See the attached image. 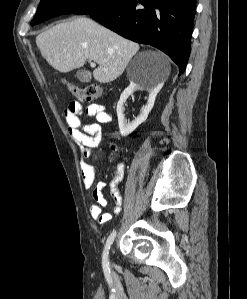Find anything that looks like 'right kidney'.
<instances>
[{
    "mask_svg": "<svg viewBox=\"0 0 247 299\" xmlns=\"http://www.w3.org/2000/svg\"><path fill=\"white\" fill-rule=\"evenodd\" d=\"M161 88L162 84H157L154 86H140L138 83H135L133 81L130 82V85L121 94L116 109L119 129L122 136L126 137L131 134L141 123H143L147 119L149 112L154 106L155 98ZM138 89H146L148 91V101L146 106L141 109L140 115L132 122H129L124 116V103L126 102L127 98Z\"/></svg>",
    "mask_w": 247,
    "mask_h": 299,
    "instance_id": "ca27d5eb",
    "label": "right kidney"
}]
</instances>
